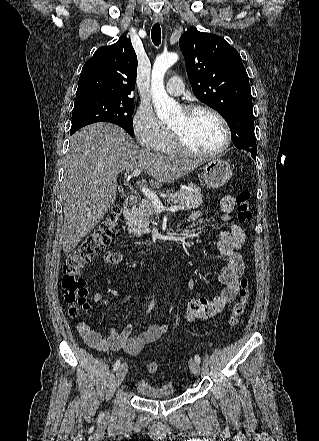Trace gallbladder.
<instances>
[{
    "label": "gallbladder",
    "instance_id": "1",
    "mask_svg": "<svg viewBox=\"0 0 319 441\" xmlns=\"http://www.w3.org/2000/svg\"><path fill=\"white\" fill-rule=\"evenodd\" d=\"M119 192L121 193V192H123V188H122V186H119Z\"/></svg>",
    "mask_w": 319,
    "mask_h": 441
}]
</instances>
